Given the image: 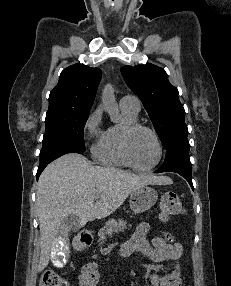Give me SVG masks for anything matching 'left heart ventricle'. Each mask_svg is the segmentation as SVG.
I'll return each instance as SVG.
<instances>
[{"label": "left heart ventricle", "mask_w": 231, "mask_h": 286, "mask_svg": "<svg viewBox=\"0 0 231 286\" xmlns=\"http://www.w3.org/2000/svg\"><path fill=\"white\" fill-rule=\"evenodd\" d=\"M130 148L135 163L140 167L152 165L158 157L156 142L145 130H140L133 135Z\"/></svg>", "instance_id": "b2bd125f"}]
</instances>
